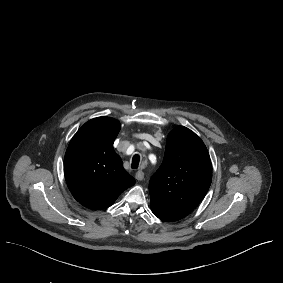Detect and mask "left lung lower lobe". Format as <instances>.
Wrapping results in <instances>:
<instances>
[{
	"label": "left lung lower lobe",
	"instance_id": "obj_1",
	"mask_svg": "<svg viewBox=\"0 0 283 283\" xmlns=\"http://www.w3.org/2000/svg\"><path fill=\"white\" fill-rule=\"evenodd\" d=\"M151 210L158 218L168 222L180 220L188 215V213L185 212L169 210L165 208L151 207Z\"/></svg>",
	"mask_w": 283,
	"mask_h": 283
}]
</instances>
